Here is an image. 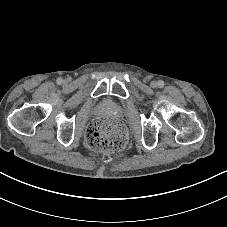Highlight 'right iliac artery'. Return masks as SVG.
Instances as JSON below:
<instances>
[{"instance_id":"obj_1","label":"right iliac artery","mask_w":227,"mask_h":227,"mask_svg":"<svg viewBox=\"0 0 227 227\" xmlns=\"http://www.w3.org/2000/svg\"><path fill=\"white\" fill-rule=\"evenodd\" d=\"M62 81H63V79H62L61 77H59V78L56 80L57 84H61Z\"/></svg>"}]
</instances>
